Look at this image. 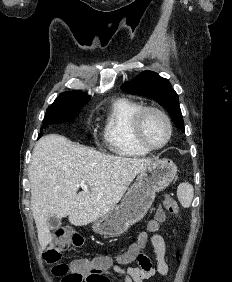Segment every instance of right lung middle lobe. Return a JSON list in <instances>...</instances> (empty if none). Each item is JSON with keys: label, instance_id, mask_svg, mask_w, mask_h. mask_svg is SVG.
<instances>
[{"label": "right lung middle lobe", "instance_id": "right-lung-middle-lobe-1", "mask_svg": "<svg viewBox=\"0 0 232 282\" xmlns=\"http://www.w3.org/2000/svg\"><path fill=\"white\" fill-rule=\"evenodd\" d=\"M88 99L55 101L47 108L41 129L47 128L51 124L72 122L84 107ZM42 132V130L40 131ZM42 133L39 134V137Z\"/></svg>", "mask_w": 232, "mask_h": 282}]
</instances>
